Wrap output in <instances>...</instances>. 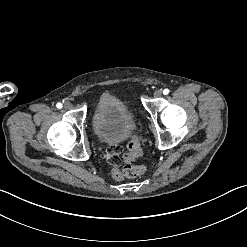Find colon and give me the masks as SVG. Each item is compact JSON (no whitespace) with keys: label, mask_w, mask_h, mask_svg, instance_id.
Instances as JSON below:
<instances>
[{"label":"colon","mask_w":247,"mask_h":247,"mask_svg":"<svg viewBox=\"0 0 247 247\" xmlns=\"http://www.w3.org/2000/svg\"><path fill=\"white\" fill-rule=\"evenodd\" d=\"M129 150L132 151L133 153L125 152L122 155V160L124 161L125 164H129L130 162H133L134 157L136 161L137 156L140 155L141 153V146L137 136H132L129 143ZM146 167H147V162H139L138 166H134V165L130 166L129 171H123L122 169L113 171V176L115 180H120L122 178L124 181H131L132 179L144 178L147 175Z\"/></svg>","instance_id":"colon-1"}]
</instances>
